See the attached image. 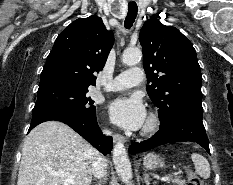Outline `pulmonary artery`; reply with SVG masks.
<instances>
[{
	"label": "pulmonary artery",
	"mask_w": 233,
	"mask_h": 185,
	"mask_svg": "<svg viewBox=\"0 0 233 185\" xmlns=\"http://www.w3.org/2000/svg\"><path fill=\"white\" fill-rule=\"evenodd\" d=\"M143 80V72L138 67L125 70L114 79H112L106 87L108 91H118L138 85Z\"/></svg>",
	"instance_id": "e3ab8cb5"
}]
</instances>
